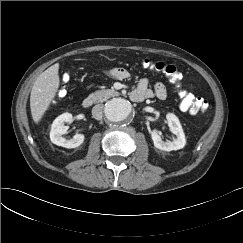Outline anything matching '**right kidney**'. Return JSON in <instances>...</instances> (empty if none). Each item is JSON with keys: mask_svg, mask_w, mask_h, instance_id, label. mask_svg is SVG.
<instances>
[{"mask_svg": "<svg viewBox=\"0 0 243 243\" xmlns=\"http://www.w3.org/2000/svg\"><path fill=\"white\" fill-rule=\"evenodd\" d=\"M72 121L73 116L71 113H63L53 121L50 131V139L52 143L65 148H76L84 142L85 137L83 134H76L69 140L62 137L68 130V127L64 126V122L71 123Z\"/></svg>", "mask_w": 243, "mask_h": 243, "instance_id": "1", "label": "right kidney"}]
</instances>
